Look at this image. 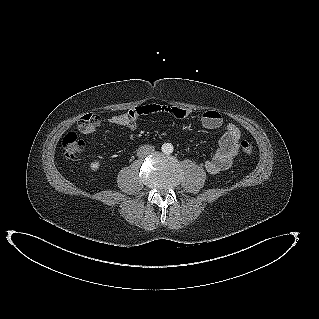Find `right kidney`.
Returning <instances> with one entry per match:
<instances>
[{
    "instance_id": "ca27d5eb",
    "label": "right kidney",
    "mask_w": 319,
    "mask_h": 319,
    "mask_svg": "<svg viewBox=\"0 0 319 319\" xmlns=\"http://www.w3.org/2000/svg\"><path fill=\"white\" fill-rule=\"evenodd\" d=\"M99 167H100V162L97 160L90 164V168L93 171H97L99 169Z\"/></svg>"
}]
</instances>
